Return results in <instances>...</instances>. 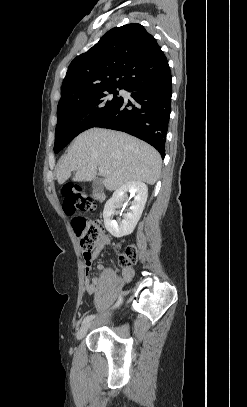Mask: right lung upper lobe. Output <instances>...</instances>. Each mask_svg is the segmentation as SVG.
Returning a JSON list of instances; mask_svg holds the SVG:
<instances>
[{
	"label": "right lung upper lobe",
	"mask_w": 247,
	"mask_h": 407,
	"mask_svg": "<svg viewBox=\"0 0 247 407\" xmlns=\"http://www.w3.org/2000/svg\"><path fill=\"white\" fill-rule=\"evenodd\" d=\"M165 61L166 56L156 39L142 25L132 23L113 28L71 62L58 106L109 87H125L135 75Z\"/></svg>",
	"instance_id": "obj_1"
}]
</instances>
